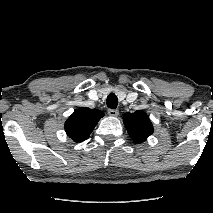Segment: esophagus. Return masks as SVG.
<instances>
[{"label": "esophagus", "mask_w": 213, "mask_h": 213, "mask_svg": "<svg viewBox=\"0 0 213 213\" xmlns=\"http://www.w3.org/2000/svg\"><path fill=\"white\" fill-rule=\"evenodd\" d=\"M108 115H109V116H112V117H116V116L119 115V111L116 110V109H109V110H108Z\"/></svg>", "instance_id": "esophagus-1"}]
</instances>
